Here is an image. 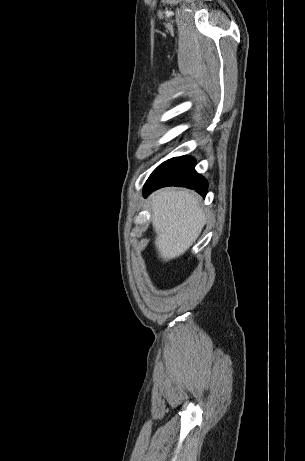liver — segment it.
<instances>
[{"instance_id":"obj_1","label":"liver","mask_w":305,"mask_h":461,"mask_svg":"<svg viewBox=\"0 0 305 461\" xmlns=\"http://www.w3.org/2000/svg\"><path fill=\"white\" fill-rule=\"evenodd\" d=\"M150 205L159 257L169 261L181 256L206 223L198 197L186 189L167 188L152 194Z\"/></svg>"}]
</instances>
